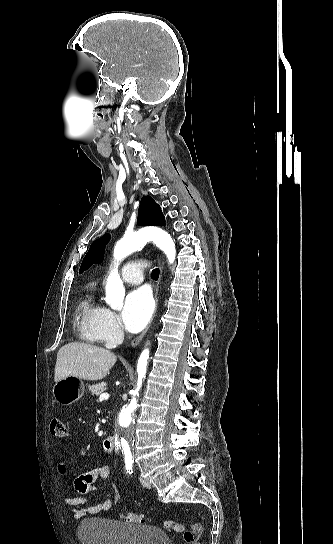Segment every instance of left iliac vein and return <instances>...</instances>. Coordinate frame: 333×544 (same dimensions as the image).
Here are the masks:
<instances>
[{
    "mask_svg": "<svg viewBox=\"0 0 333 544\" xmlns=\"http://www.w3.org/2000/svg\"><path fill=\"white\" fill-rule=\"evenodd\" d=\"M140 482L143 485V487H145V488H151V486H152L151 483L148 480L144 479V478H140Z\"/></svg>",
    "mask_w": 333,
    "mask_h": 544,
    "instance_id": "1",
    "label": "left iliac vein"
}]
</instances>
